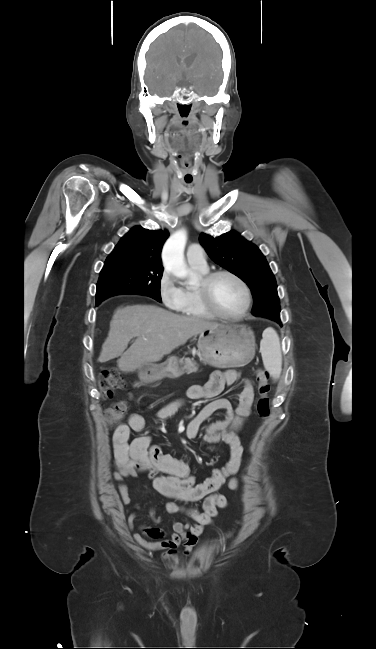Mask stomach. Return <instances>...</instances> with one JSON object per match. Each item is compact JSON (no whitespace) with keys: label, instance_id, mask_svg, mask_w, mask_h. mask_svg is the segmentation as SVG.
Instances as JSON below:
<instances>
[{"label":"stomach","instance_id":"obj_1","mask_svg":"<svg viewBox=\"0 0 376 649\" xmlns=\"http://www.w3.org/2000/svg\"><path fill=\"white\" fill-rule=\"evenodd\" d=\"M198 350L202 360L216 368L244 366L255 355L254 333L245 325H220L199 333ZM182 364L181 359L171 356L161 365L140 367L139 377L145 383L178 378L183 374Z\"/></svg>","mask_w":376,"mask_h":649}]
</instances>
